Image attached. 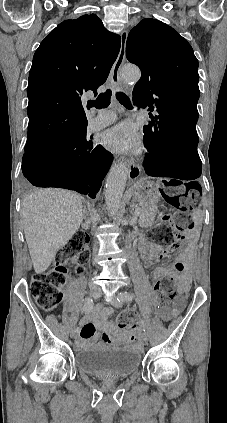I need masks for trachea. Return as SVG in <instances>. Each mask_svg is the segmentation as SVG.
Instances as JSON below:
<instances>
[{
  "mask_svg": "<svg viewBox=\"0 0 227 423\" xmlns=\"http://www.w3.org/2000/svg\"><path fill=\"white\" fill-rule=\"evenodd\" d=\"M111 95V90H106V92L100 93L96 100H90L88 102V106L99 109L107 108L111 103ZM116 98L121 103V105H124V107L128 108L129 110L133 109L131 101L125 93L116 92Z\"/></svg>",
  "mask_w": 227,
  "mask_h": 423,
  "instance_id": "trachea-1",
  "label": "trachea"
}]
</instances>
